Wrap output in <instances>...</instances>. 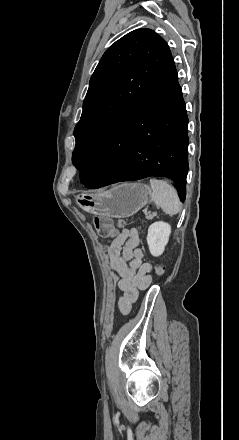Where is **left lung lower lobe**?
<instances>
[{"label":"left lung lower lobe","instance_id":"1","mask_svg":"<svg viewBox=\"0 0 239 440\" xmlns=\"http://www.w3.org/2000/svg\"><path fill=\"white\" fill-rule=\"evenodd\" d=\"M188 117L171 56L138 102L108 133L80 181L91 189L149 176L172 179L181 201L188 172Z\"/></svg>","mask_w":239,"mask_h":440}]
</instances>
